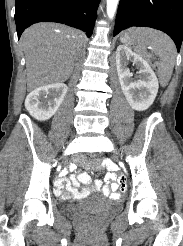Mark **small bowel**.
Listing matches in <instances>:
<instances>
[{
	"mask_svg": "<svg viewBox=\"0 0 183 246\" xmlns=\"http://www.w3.org/2000/svg\"><path fill=\"white\" fill-rule=\"evenodd\" d=\"M99 167H107L109 170H114L106 174L105 182L102 180L92 181L87 173L81 172L78 175L73 174V170L77 169L76 165H67L66 169H60V174H56V179H59L54 188L56 195H61L63 198L83 197L89 193L99 190L104 195L112 199H117L119 193H127L132 183L128 182L126 174H121L120 165H115V160H102L98 163ZM63 174H72L69 178H65ZM117 179V182L115 180ZM82 183L84 188H77Z\"/></svg>",
	"mask_w": 183,
	"mask_h": 246,
	"instance_id": "small-bowel-1",
	"label": "small bowel"
}]
</instances>
